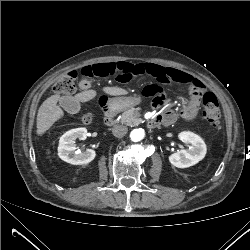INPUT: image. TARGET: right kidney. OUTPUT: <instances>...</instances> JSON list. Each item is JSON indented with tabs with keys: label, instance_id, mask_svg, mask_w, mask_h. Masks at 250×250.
I'll return each instance as SVG.
<instances>
[{
	"label": "right kidney",
	"instance_id": "obj_1",
	"mask_svg": "<svg viewBox=\"0 0 250 250\" xmlns=\"http://www.w3.org/2000/svg\"><path fill=\"white\" fill-rule=\"evenodd\" d=\"M87 137L86 128H75L67 131L60 137L58 146V156L72 165H83L90 163L96 156L92 149L85 152H77L76 139L84 140Z\"/></svg>",
	"mask_w": 250,
	"mask_h": 250
}]
</instances>
